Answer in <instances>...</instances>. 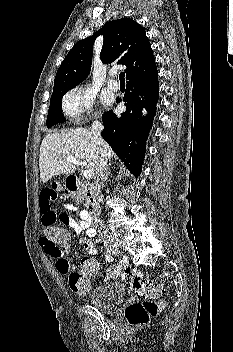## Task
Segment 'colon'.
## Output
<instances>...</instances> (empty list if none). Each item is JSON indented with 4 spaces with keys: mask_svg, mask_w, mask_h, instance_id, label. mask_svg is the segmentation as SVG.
Masks as SVG:
<instances>
[{
    "mask_svg": "<svg viewBox=\"0 0 233 352\" xmlns=\"http://www.w3.org/2000/svg\"><path fill=\"white\" fill-rule=\"evenodd\" d=\"M42 224L44 238L55 246L64 247L68 239L67 232L55 226L53 221ZM81 264L79 271L70 274L68 282L70 289L77 296L85 297L90 290V280L99 273L100 266L92 256H85ZM104 276L107 279L126 281L129 287L142 298V301L133 302L125 308L124 316L129 325H144L164 308L165 303L158 301L165 290L164 286L149 277H144L140 272L132 273L128 267L115 264L106 270Z\"/></svg>",
    "mask_w": 233,
    "mask_h": 352,
    "instance_id": "colon-1",
    "label": "colon"
}]
</instances>
